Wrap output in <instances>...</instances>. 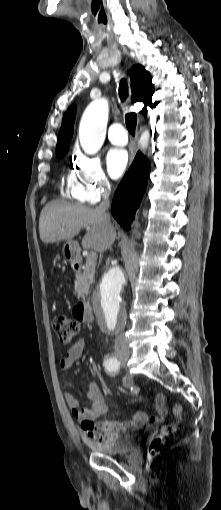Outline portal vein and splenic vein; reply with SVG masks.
Wrapping results in <instances>:
<instances>
[{"instance_id": "18ae733b", "label": "portal vein and splenic vein", "mask_w": 221, "mask_h": 510, "mask_svg": "<svg viewBox=\"0 0 221 510\" xmlns=\"http://www.w3.org/2000/svg\"><path fill=\"white\" fill-rule=\"evenodd\" d=\"M97 260V254L95 252H90L86 256V262L89 264L96 263Z\"/></svg>"}]
</instances>
